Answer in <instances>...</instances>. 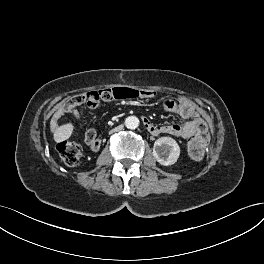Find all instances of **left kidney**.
I'll use <instances>...</instances> for the list:
<instances>
[{"instance_id":"1","label":"left kidney","mask_w":264,"mask_h":264,"mask_svg":"<svg viewBox=\"0 0 264 264\" xmlns=\"http://www.w3.org/2000/svg\"><path fill=\"white\" fill-rule=\"evenodd\" d=\"M153 156L161 165H173L180 156V147L171 137H161L154 142Z\"/></svg>"}]
</instances>
